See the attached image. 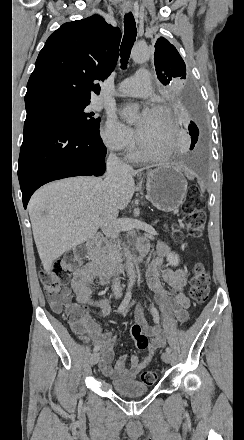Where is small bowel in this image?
<instances>
[{
    "label": "small bowel",
    "mask_w": 244,
    "mask_h": 440,
    "mask_svg": "<svg viewBox=\"0 0 244 440\" xmlns=\"http://www.w3.org/2000/svg\"><path fill=\"white\" fill-rule=\"evenodd\" d=\"M172 248L160 241L157 244V257L151 262L146 271V282L157 302L161 306L164 315L174 314L179 322L188 320L187 309L190 307V300L185 294L186 275L181 268L166 267L165 258L171 253ZM166 283L167 287L162 284ZM110 282V275L104 272L98 265L87 263L78 268L72 277L71 286L75 294L76 303L83 307L90 305L96 309V315L105 316L110 311L111 302L109 298L93 299L92 285L97 283L105 286ZM91 325L87 327L88 338H79L83 343L90 340L99 345L101 357L98 367L102 374L114 381H130L135 379L153 361L157 353L166 344V336L161 326H151L138 314L136 322L144 325L143 333L150 335V348H139L147 350L143 359L137 356L121 355L114 361V333L112 330H103L90 317Z\"/></svg>",
    "instance_id": "1"
}]
</instances>
